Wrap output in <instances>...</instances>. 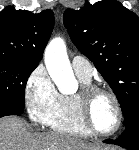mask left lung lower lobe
Wrapping results in <instances>:
<instances>
[{
	"instance_id": "left-lung-lower-lobe-1",
	"label": "left lung lower lobe",
	"mask_w": 139,
	"mask_h": 150,
	"mask_svg": "<svg viewBox=\"0 0 139 150\" xmlns=\"http://www.w3.org/2000/svg\"><path fill=\"white\" fill-rule=\"evenodd\" d=\"M103 142L115 144L129 150H139V112L135 113V120L126 126L118 139H107Z\"/></svg>"
}]
</instances>
